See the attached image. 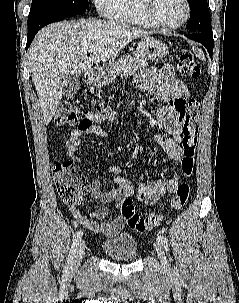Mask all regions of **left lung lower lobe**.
Returning <instances> with one entry per match:
<instances>
[{
    "label": "left lung lower lobe",
    "instance_id": "0a47b994",
    "mask_svg": "<svg viewBox=\"0 0 239 303\" xmlns=\"http://www.w3.org/2000/svg\"><path fill=\"white\" fill-rule=\"evenodd\" d=\"M186 37L204 45L205 48L207 49L211 59H212L213 44H214L212 33L194 32V33H191V34H187Z\"/></svg>",
    "mask_w": 239,
    "mask_h": 303
}]
</instances>
